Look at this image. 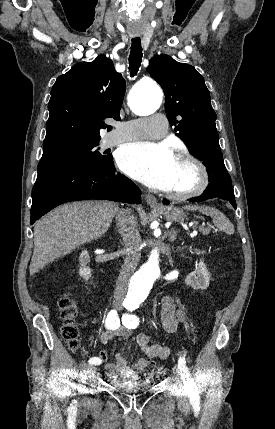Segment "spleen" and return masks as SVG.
I'll return each instance as SVG.
<instances>
[{
	"label": "spleen",
	"mask_w": 275,
	"mask_h": 429,
	"mask_svg": "<svg viewBox=\"0 0 275 429\" xmlns=\"http://www.w3.org/2000/svg\"><path fill=\"white\" fill-rule=\"evenodd\" d=\"M184 209L196 211L198 210L200 213L210 216L213 219V223L215 226H217L220 230L225 232L226 234H233L235 229L233 224L225 217V215L220 212L218 209L210 206H185Z\"/></svg>",
	"instance_id": "3e777b00"
}]
</instances>
